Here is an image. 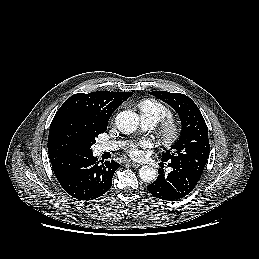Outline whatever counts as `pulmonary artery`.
<instances>
[{
  "label": "pulmonary artery",
  "mask_w": 259,
  "mask_h": 259,
  "mask_svg": "<svg viewBox=\"0 0 259 259\" xmlns=\"http://www.w3.org/2000/svg\"><path fill=\"white\" fill-rule=\"evenodd\" d=\"M141 123L142 127L147 130L153 128L156 121L152 117L141 115ZM120 145L121 142H107L100 144L99 149L100 151H110L116 149Z\"/></svg>",
  "instance_id": "1"
}]
</instances>
